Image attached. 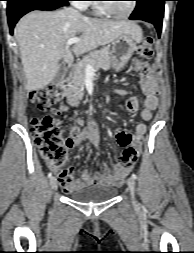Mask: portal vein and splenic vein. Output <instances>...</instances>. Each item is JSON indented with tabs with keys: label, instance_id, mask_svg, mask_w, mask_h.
I'll return each instance as SVG.
<instances>
[{
	"label": "portal vein and splenic vein",
	"instance_id": "portal-vein-and-splenic-vein-1",
	"mask_svg": "<svg viewBox=\"0 0 194 253\" xmlns=\"http://www.w3.org/2000/svg\"><path fill=\"white\" fill-rule=\"evenodd\" d=\"M80 39L78 37H73V38H70L67 42H66V45L69 46V45H72L76 42H79ZM87 68L91 69L92 66L91 65H87Z\"/></svg>",
	"mask_w": 194,
	"mask_h": 253
}]
</instances>
